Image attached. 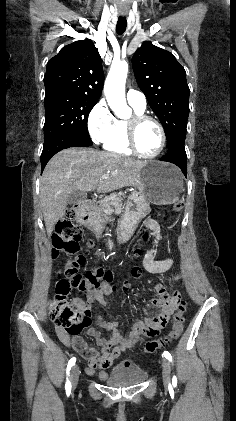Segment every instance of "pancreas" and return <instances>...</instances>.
<instances>
[{"instance_id":"cf45deb5","label":"pancreas","mask_w":236,"mask_h":421,"mask_svg":"<svg viewBox=\"0 0 236 421\" xmlns=\"http://www.w3.org/2000/svg\"><path fill=\"white\" fill-rule=\"evenodd\" d=\"M123 192H112L108 198H104V200H101L99 208L100 213H102L101 217L103 219H108V215H112V213H115V215H121L122 211V196Z\"/></svg>"}]
</instances>
